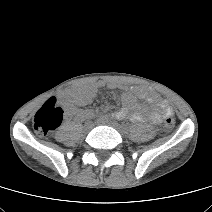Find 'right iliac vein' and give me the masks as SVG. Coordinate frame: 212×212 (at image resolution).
I'll use <instances>...</instances> for the list:
<instances>
[{
  "label": "right iliac vein",
  "mask_w": 212,
  "mask_h": 212,
  "mask_svg": "<svg viewBox=\"0 0 212 212\" xmlns=\"http://www.w3.org/2000/svg\"><path fill=\"white\" fill-rule=\"evenodd\" d=\"M93 127H94V123L91 122V121H88V122L84 125V131H85V132H89Z\"/></svg>",
  "instance_id": "1"
}]
</instances>
